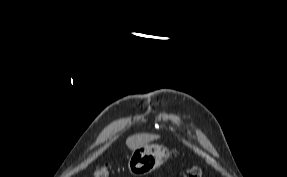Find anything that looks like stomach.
<instances>
[{
    "label": "stomach",
    "instance_id": "1",
    "mask_svg": "<svg viewBox=\"0 0 287 177\" xmlns=\"http://www.w3.org/2000/svg\"><path fill=\"white\" fill-rule=\"evenodd\" d=\"M169 150L158 144H145L133 150L128 168L136 176L147 175L161 166L168 158Z\"/></svg>",
    "mask_w": 287,
    "mask_h": 177
}]
</instances>
